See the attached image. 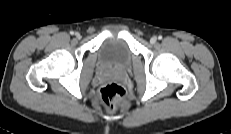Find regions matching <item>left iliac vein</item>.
Wrapping results in <instances>:
<instances>
[{
	"label": "left iliac vein",
	"instance_id": "4c4485c4",
	"mask_svg": "<svg viewBox=\"0 0 231 134\" xmlns=\"http://www.w3.org/2000/svg\"><path fill=\"white\" fill-rule=\"evenodd\" d=\"M156 41H157V38L155 36L151 37V39H150L151 44L156 43Z\"/></svg>",
	"mask_w": 231,
	"mask_h": 134
}]
</instances>
